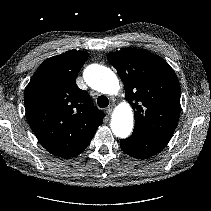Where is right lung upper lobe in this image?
<instances>
[{
    "mask_svg": "<svg viewBox=\"0 0 211 211\" xmlns=\"http://www.w3.org/2000/svg\"><path fill=\"white\" fill-rule=\"evenodd\" d=\"M87 57L86 51L70 50L46 59L25 89L31 129L48 152L62 158L85 148L105 116L76 85Z\"/></svg>",
    "mask_w": 211,
    "mask_h": 211,
    "instance_id": "right-lung-upper-lobe-1",
    "label": "right lung upper lobe"
}]
</instances>
